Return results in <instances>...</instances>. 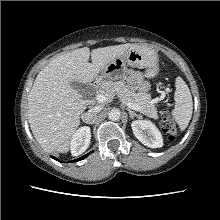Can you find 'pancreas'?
Masks as SVG:
<instances>
[{"label": "pancreas", "mask_w": 220, "mask_h": 220, "mask_svg": "<svg viewBox=\"0 0 220 220\" xmlns=\"http://www.w3.org/2000/svg\"><path fill=\"white\" fill-rule=\"evenodd\" d=\"M100 92L106 93V95L113 99L115 95L119 97V99L123 103H133L138 106H142L143 109L140 110L143 114L151 117L157 118V111L151 102V96L149 94L143 92H137L136 89L127 85L124 81H103L100 86Z\"/></svg>", "instance_id": "1"}]
</instances>
